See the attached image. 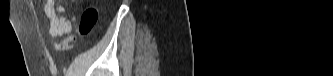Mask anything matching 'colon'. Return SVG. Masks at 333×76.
Returning a JSON list of instances; mask_svg holds the SVG:
<instances>
[{
  "instance_id": "5ec220e1",
  "label": "colon",
  "mask_w": 333,
  "mask_h": 76,
  "mask_svg": "<svg viewBox=\"0 0 333 76\" xmlns=\"http://www.w3.org/2000/svg\"><path fill=\"white\" fill-rule=\"evenodd\" d=\"M97 20V10L94 7L87 8L81 15L77 33L82 36L88 35L95 27ZM74 39L75 34L68 35L57 45V49L59 51H65L69 49L73 45Z\"/></svg>"
}]
</instances>
